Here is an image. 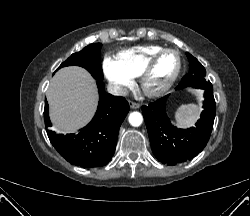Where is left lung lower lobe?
I'll list each match as a JSON object with an SVG mask.
<instances>
[{"instance_id":"1","label":"left lung lower lobe","mask_w":250,"mask_h":216,"mask_svg":"<svg viewBox=\"0 0 250 216\" xmlns=\"http://www.w3.org/2000/svg\"><path fill=\"white\" fill-rule=\"evenodd\" d=\"M200 89L205 91L204 110L196 127L187 130L178 129L169 121L166 114L168 96L162 97L148 106H142L151 148L160 162L167 165L186 162L198 155L206 146L215 118V100L213 88Z\"/></svg>"}]
</instances>
